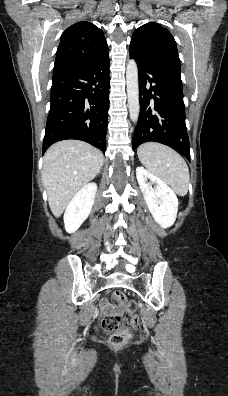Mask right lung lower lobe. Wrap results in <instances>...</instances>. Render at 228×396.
I'll list each match as a JSON object with an SVG mask.
<instances>
[{"instance_id": "right-lung-lower-lobe-1", "label": "right lung lower lobe", "mask_w": 228, "mask_h": 396, "mask_svg": "<svg viewBox=\"0 0 228 396\" xmlns=\"http://www.w3.org/2000/svg\"><path fill=\"white\" fill-rule=\"evenodd\" d=\"M109 66L107 53L88 65L53 73L43 153L65 139L88 142L105 153Z\"/></svg>"}]
</instances>
